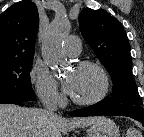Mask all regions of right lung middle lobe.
Wrapping results in <instances>:
<instances>
[{
  "mask_svg": "<svg viewBox=\"0 0 144 137\" xmlns=\"http://www.w3.org/2000/svg\"><path fill=\"white\" fill-rule=\"evenodd\" d=\"M33 57H23L0 62V98L33 101L30 71Z\"/></svg>",
  "mask_w": 144,
  "mask_h": 137,
  "instance_id": "right-lung-middle-lobe-1",
  "label": "right lung middle lobe"
}]
</instances>
